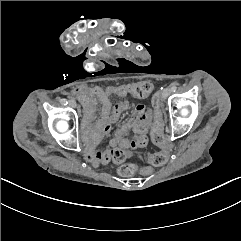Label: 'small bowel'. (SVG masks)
<instances>
[{
    "label": "small bowel",
    "mask_w": 241,
    "mask_h": 241,
    "mask_svg": "<svg viewBox=\"0 0 241 241\" xmlns=\"http://www.w3.org/2000/svg\"><path fill=\"white\" fill-rule=\"evenodd\" d=\"M129 87L130 85H120L103 89L98 86L82 85L73 90V95L82 102L86 111L83 137L88 140L90 147H95L101 138L110 132L112 124L128 109L129 103L125 98L130 94ZM111 97H118L121 100L112 104ZM96 101L101 104V119L94 124ZM152 124L151 111L147 110L143 103H137L132 118L115 131L109 142V148L103 151L88 152L86 159L97 166L109 162L113 149L120 148L126 151L146 147ZM131 132L134 133V137L128 138Z\"/></svg>",
    "instance_id": "small-bowel-1"
}]
</instances>
